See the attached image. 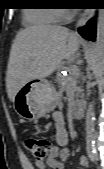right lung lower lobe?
Wrapping results in <instances>:
<instances>
[{"label": "right lung lower lobe", "instance_id": "right-lung-lower-lobe-1", "mask_svg": "<svg viewBox=\"0 0 104 169\" xmlns=\"http://www.w3.org/2000/svg\"><path fill=\"white\" fill-rule=\"evenodd\" d=\"M80 35L90 41H95L96 23L94 19L90 20L84 27L79 28Z\"/></svg>", "mask_w": 104, "mask_h": 169}]
</instances>
